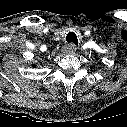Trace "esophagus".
<instances>
[{
    "label": "esophagus",
    "mask_w": 127,
    "mask_h": 127,
    "mask_svg": "<svg viewBox=\"0 0 127 127\" xmlns=\"http://www.w3.org/2000/svg\"><path fill=\"white\" fill-rule=\"evenodd\" d=\"M76 50H77V47L74 44H68V45L64 46V48H63V52L65 54H73L76 52Z\"/></svg>",
    "instance_id": "34e87169"
}]
</instances>
